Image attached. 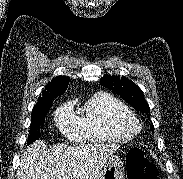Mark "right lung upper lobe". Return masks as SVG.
I'll return each instance as SVG.
<instances>
[{
  "instance_id": "obj_1",
  "label": "right lung upper lobe",
  "mask_w": 183,
  "mask_h": 179,
  "mask_svg": "<svg viewBox=\"0 0 183 179\" xmlns=\"http://www.w3.org/2000/svg\"><path fill=\"white\" fill-rule=\"evenodd\" d=\"M69 78L66 76H57L48 83L45 89L40 94L36 106H41L52 102V99L62 95L68 87Z\"/></svg>"
}]
</instances>
